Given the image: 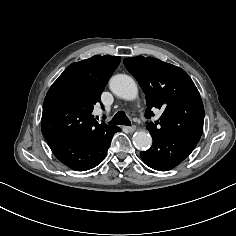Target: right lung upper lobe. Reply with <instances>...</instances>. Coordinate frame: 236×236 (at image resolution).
<instances>
[{"instance_id":"right-lung-upper-lobe-1","label":"right lung upper lobe","mask_w":236,"mask_h":236,"mask_svg":"<svg viewBox=\"0 0 236 236\" xmlns=\"http://www.w3.org/2000/svg\"><path fill=\"white\" fill-rule=\"evenodd\" d=\"M117 56H93L69 65L50 87L41 119L46 140L91 136L110 127L99 124L91 112L109 78L118 67Z\"/></svg>"}]
</instances>
